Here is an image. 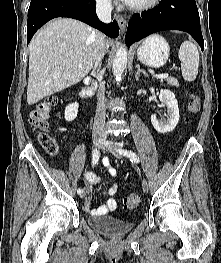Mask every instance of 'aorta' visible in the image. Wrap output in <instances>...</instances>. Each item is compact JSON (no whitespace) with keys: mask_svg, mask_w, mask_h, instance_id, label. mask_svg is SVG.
<instances>
[{"mask_svg":"<svg viewBox=\"0 0 221 263\" xmlns=\"http://www.w3.org/2000/svg\"><path fill=\"white\" fill-rule=\"evenodd\" d=\"M128 52L125 46L117 49L113 60V75L120 80L127 66Z\"/></svg>","mask_w":221,"mask_h":263,"instance_id":"762f6f07","label":"aorta"}]
</instances>
